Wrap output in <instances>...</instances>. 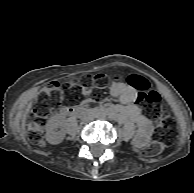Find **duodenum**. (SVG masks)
I'll use <instances>...</instances> for the list:
<instances>
[{
	"instance_id": "duodenum-1",
	"label": "duodenum",
	"mask_w": 194,
	"mask_h": 193,
	"mask_svg": "<svg viewBox=\"0 0 194 193\" xmlns=\"http://www.w3.org/2000/svg\"><path fill=\"white\" fill-rule=\"evenodd\" d=\"M62 112L68 116H78L81 114L88 113L89 110L79 106H67L63 108Z\"/></svg>"
}]
</instances>
